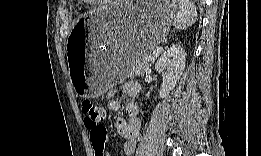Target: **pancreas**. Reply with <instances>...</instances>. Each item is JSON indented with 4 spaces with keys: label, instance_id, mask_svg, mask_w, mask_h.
Segmentation results:
<instances>
[{
    "label": "pancreas",
    "instance_id": "1",
    "mask_svg": "<svg viewBox=\"0 0 261 156\" xmlns=\"http://www.w3.org/2000/svg\"><path fill=\"white\" fill-rule=\"evenodd\" d=\"M153 50L146 52L135 66L130 70L129 75H140L145 69L150 67L154 61L155 56L152 55Z\"/></svg>",
    "mask_w": 261,
    "mask_h": 156
}]
</instances>
